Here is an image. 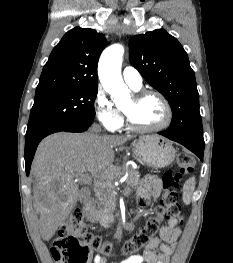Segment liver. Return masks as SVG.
<instances>
[{"label": "liver", "instance_id": "6515ba94", "mask_svg": "<svg viewBox=\"0 0 233 263\" xmlns=\"http://www.w3.org/2000/svg\"><path fill=\"white\" fill-rule=\"evenodd\" d=\"M132 136H99L91 132H59L44 138L36 151L31 172L36 178L34 207L39 212V230L49 241L76 206V179L91 173L95 181L111 178L116 146Z\"/></svg>", "mask_w": 233, "mask_h": 263}]
</instances>
